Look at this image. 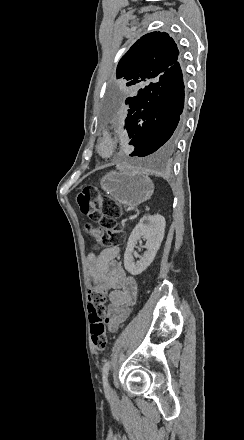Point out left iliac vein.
<instances>
[{"label": "left iliac vein", "instance_id": "4c4485c4", "mask_svg": "<svg viewBox=\"0 0 244 440\" xmlns=\"http://www.w3.org/2000/svg\"><path fill=\"white\" fill-rule=\"evenodd\" d=\"M109 395L111 400L115 399V391L111 387H109Z\"/></svg>", "mask_w": 244, "mask_h": 440}]
</instances>
